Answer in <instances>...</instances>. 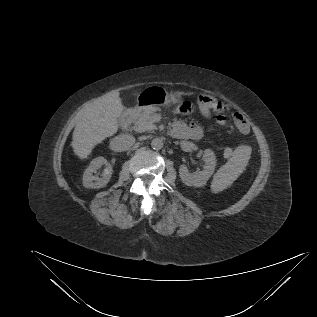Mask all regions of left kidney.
Here are the masks:
<instances>
[{
	"mask_svg": "<svg viewBox=\"0 0 317 317\" xmlns=\"http://www.w3.org/2000/svg\"><path fill=\"white\" fill-rule=\"evenodd\" d=\"M203 161L205 164L203 170L199 174L190 173L186 165L180 166L179 176L185 185L195 187H203L206 185L216 167V157L214 152L210 149H206L203 153Z\"/></svg>",
	"mask_w": 317,
	"mask_h": 317,
	"instance_id": "1",
	"label": "left kidney"
}]
</instances>
